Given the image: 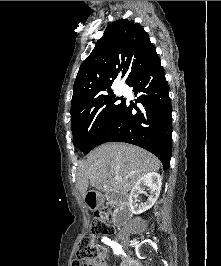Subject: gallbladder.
Listing matches in <instances>:
<instances>
[{
	"label": "gallbladder",
	"mask_w": 221,
	"mask_h": 266,
	"mask_svg": "<svg viewBox=\"0 0 221 266\" xmlns=\"http://www.w3.org/2000/svg\"><path fill=\"white\" fill-rule=\"evenodd\" d=\"M97 189H98L99 191H102V190H103V186H102V185H99V186L97 187Z\"/></svg>",
	"instance_id": "obj_1"
}]
</instances>
